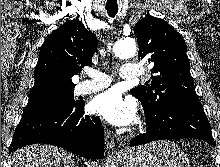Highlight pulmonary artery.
<instances>
[{
    "label": "pulmonary artery",
    "instance_id": "pulmonary-artery-1",
    "mask_svg": "<svg viewBox=\"0 0 220 167\" xmlns=\"http://www.w3.org/2000/svg\"><path fill=\"white\" fill-rule=\"evenodd\" d=\"M90 80L82 82L78 92L80 94H91L107 88L111 84V79L105 73L98 70L88 72ZM141 75V69L138 65L124 63L121 66L120 76L122 79H136Z\"/></svg>",
    "mask_w": 220,
    "mask_h": 167
}]
</instances>
